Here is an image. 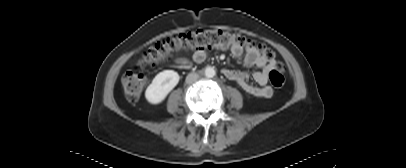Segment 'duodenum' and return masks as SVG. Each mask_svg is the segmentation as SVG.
Segmentation results:
<instances>
[{
  "mask_svg": "<svg viewBox=\"0 0 406 168\" xmlns=\"http://www.w3.org/2000/svg\"><path fill=\"white\" fill-rule=\"evenodd\" d=\"M182 67H183L184 69H187V68H188V64H187V63L182 64Z\"/></svg>",
  "mask_w": 406,
  "mask_h": 168,
  "instance_id": "obj_1",
  "label": "duodenum"
}]
</instances>
